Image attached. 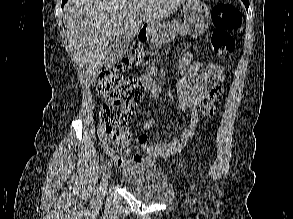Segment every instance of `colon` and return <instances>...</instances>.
<instances>
[{"mask_svg": "<svg viewBox=\"0 0 293 219\" xmlns=\"http://www.w3.org/2000/svg\"><path fill=\"white\" fill-rule=\"evenodd\" d=\"M211 18L215 28L211 44L215 54L231 53L235 48L233 32L242 24L239 10L232 4L218 3L211 10ZM144 55L142 46L136 43L125 57L104 65L93 79L96 93L106 100L99 111V121L108 134L113 135L118 129L127 128L137 103L143 98V86L132 70ZM215 73L221 76L223 67L215 66Z\"/></svg>", "mask_w": 293, "mask_h": 219, "instance_id": "5ec220e1", "label": "colon"}]
</instances>
